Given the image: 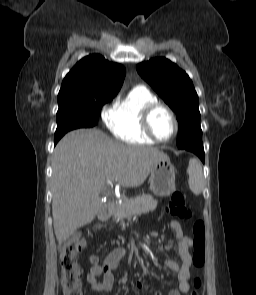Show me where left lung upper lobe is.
Masks as SVG:
<instances>
[{"mask_svg":"<svg viewBox=\"0 0 256 295\" xmlns=\"http://www.w3.org/2000/svg\"><path fill=\"white\" fill-rule=\"evenodd\" d=\"M158 95L176 112L178 148L202 145L199 99L189 76L166 58H155L136 67Z\"/></svg>","mask_w":256,"mask_h":295,"instance_id":"obj_1","label":"left lung upper lobe"}]
</instances>
